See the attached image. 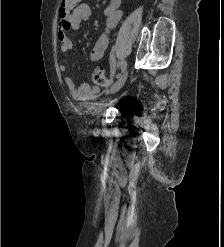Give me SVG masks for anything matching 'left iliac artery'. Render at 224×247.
I'll list each match as a JSON object with an SVG mask.
<instances>
[{"label":"left iliac artery","instance_id":"44dca946","mask_svg":"<svg viewBox=\"0 0 224 247\" xmlns=\"http://www.w3.org/2000/svg\"><path fill=\"white\" fill-rule=\"evenodd\" d=\"M127 67V63L125 60L121 61V71L124 72L126 70Z\"/></svg>","mask_w":224,"mask_h":247}]
</instances>
